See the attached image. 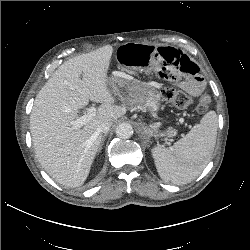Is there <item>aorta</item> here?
<instances>
[{
    "label": "aorta",
    "instance_id": "aorta-1",
    "mask_svg": "<svg viewBox=\"0 0 250 250\" xmlns=\"http://www.w3.org/2000/svg\"><path fill=\"white\" fill-rule=\"evenodd\" d=\"M133 134V128L129 123H121L116 127V135L121 139H128Z\"/></svg>",
    "mask_w": 250,
    "mask_h": 250
}]
</instances>
